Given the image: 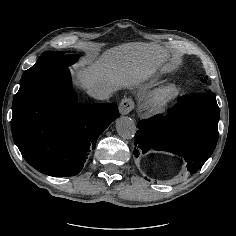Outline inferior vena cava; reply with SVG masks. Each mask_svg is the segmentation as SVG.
Here are the masks:
<instances>
[{"label": "inferior vena cava", "instance_id": "602c4592", "mask_svg": "<svg viewBox=\"0 0 236 236\" xmlns=\"http://www.w3.org/2000/svg\"><path fill=\"white\" fill-rule=\"evenodd\" d=\"M113 93V88L107 83H101L95 85L88 94L98 100H107L111 97Z\"/></svg>", "mask_w": 236, "mask_h": 236}]
</instances>
